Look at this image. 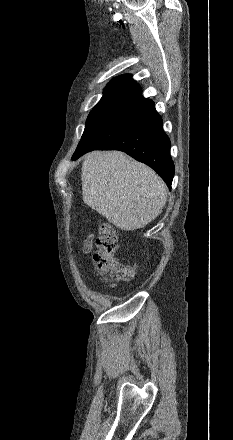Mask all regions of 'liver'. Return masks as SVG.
Here are the masks:
<instances>
[{
    "mask_svg": "<svg viewBox=\"0 0 233 440\" xmlns=\"http://www.w3.org/2000/svg\"><path fill=\"white\" fill-rule=\"evenodd\" d=\"M81 180L84 203L124 231L150 223L167 201L163 180L120 151L88 153Z\"/></svg>",
    "mask_w": 233,
    "mask_h": 440,
    "instance_id": "liver-1",
    "label": "liver"
}]
</instances>
